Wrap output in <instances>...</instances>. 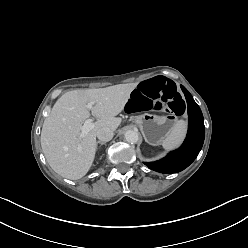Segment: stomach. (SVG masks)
Returning a JSON list of instances; mask_svg holds the SVG:
<instances>
[{
	"instance_id": "0dacf381",
	"label": "stomach",
	"mask_w": 248,
	"mask_h": 248,
	"mask_svg": "<svg viewBox=\"0 0 248 248\" xmlns=\"http://www.w3.org/2000/svg\"><path fill=\"white\" fill-rule=\"evenodd\" d=\"M135 123L139 126L145 141L150 145L157 146L178 125V118L174 114L157 116L144 113L136 116Z\"/></svg>"
}]
</instances>
